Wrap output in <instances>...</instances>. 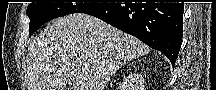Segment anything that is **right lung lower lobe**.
Segmentation results:
<instances>
[{
  "label": "right lung lower lobe",
  "mask_w": 216,
  "mask_h": 90,
  "mask_svg": "<svg viewBox=\"0 0 216 90\" xmlns=\"http://www.w3.org/2000/svg\"><path fill=\"white\" fill-rule=\"evenodd\" d=\"M183 11L184 3H105L83 13L137 37L174 64L182 44Z\"/></svg>",
  "instance_id": "1"
}]
</instances>
